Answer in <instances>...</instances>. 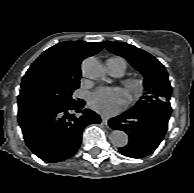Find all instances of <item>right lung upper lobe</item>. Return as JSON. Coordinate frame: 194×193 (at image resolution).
Returning <instances> with one entry per match:
<instances>
[{"label": "right lung upper lobe", "mask_w": 194, "mask_h": 193, "mask_svg": "<svg viewBox=\"0 0 194 193\" xmlns=\"http://www.w3.org/2000/svg\"><path fill=\"white\" fill-rule=\"evenodd\" d=\"M102 48L101 42L68 41L56 44L30 66L23 77L20 92L23 93L31 80L39 75L80 78V64L84 57L95 55Z\"/></svg>", "instance_id": "obj_1"}]
</instances>
